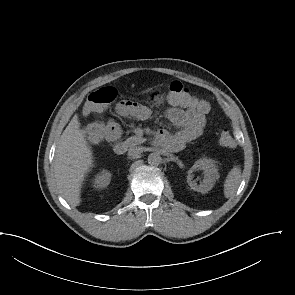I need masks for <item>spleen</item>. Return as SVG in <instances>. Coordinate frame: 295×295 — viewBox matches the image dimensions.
Wrapping results in <instances>:
<instances>
[{
	"mask_svg": "<svg viewBox=\"0 0 295 295\" xmlns=\"http://www.w3.org/2000/svg\"><path fill=\"white\" fill-rule=\"evenodd\" d=\"M241 179V168L234 166L228 173L224 182V195L226 198L231 197L237 190Z\"/></svg>",
	"mask_w": 295,
	"mask_h": 295,
	"instance_id": "1",
	"label": "spleen"
}]
</instances>
